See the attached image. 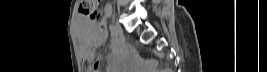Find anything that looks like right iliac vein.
I'll return each mask as SVG.
<instances>
[{
	"instance_id": "63e3f726",
	"label": "right iliac vein",
	"mask_w": 267,
	"mask_h": 72,
	"mask_svg": "<svg viewBox=\"0 0 267 72\" xmlns=\"http://www.w3.org/2000/svg\"><path fill=\"white\" fill-rule=\"evenodd\" d=\"M113 28H114L115 33L117 35H122L123 30H122L121 26L117 22L113 25Z\"/></svg>"
}]
</instances>
